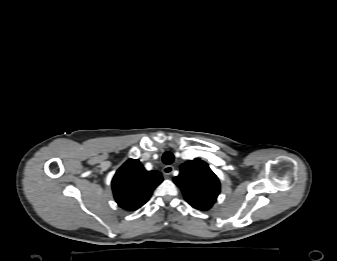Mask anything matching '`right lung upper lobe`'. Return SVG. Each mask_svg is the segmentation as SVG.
Masks as SVG:
<instances>
[{"label":"right lung upper lobe","instance_id":"right-lung-upper-lobe-1","mask_svg":"<svg viewBox=\"0 0 337 261\" xmlns=\"http://www.w3.org/2000/svg\"><path fill=\"white\" fill-rule=\"evenodd\" d=\"M163 181L158 171H147L139 160L129 159L112 179V190L117 204L128 211L144 205L153 190Z\"/></svg>","mask_w":337,"mask_h":261}]
</instances>
